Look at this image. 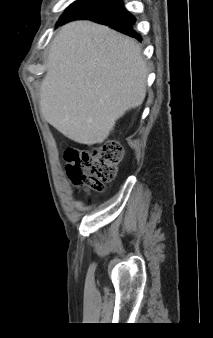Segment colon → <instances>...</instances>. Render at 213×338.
Segmentation results:
<instances>
[{"label": "colon", "instance_id": "obj_1", "mask_svg": "<svg viewBox=\"0 0 213 338\" xmlns=\"http://www.w3.org/2000/svg\"><path fill=\"white\" fill-rule=\"evenodd\" d=\"M64 157L66 174L73 187L103 192L118 173L123 148L117 142L107 141L98 147L68 148Z\"/></svg>", "mask_w": 213, "mask_h": 338}]
</instances>
